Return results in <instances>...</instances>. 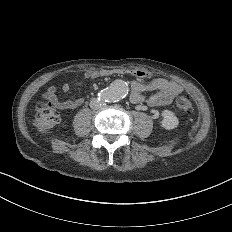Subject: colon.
Masks as SVG:
<instances>
[{"label":"colon","instance_id":"colon-1","mask_svg":"<svg viewBox=\"0 0 232 232\" xmlns=\"http://www.w3.org/2000/svg\"><path fill=\"white\" fill-rule=\"evenodd\" d=\"M176 99L179 102L178 111H183L184 114L194 113V102H191L189 94H176ZM46 101H54V96L42 97L41 104L38 105V120H31V125H38V137H45L47 129H57L60 121V112H57V108H47Z\"/></svg>","mask_w":232,"mask_h":232}]
</instances>
